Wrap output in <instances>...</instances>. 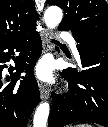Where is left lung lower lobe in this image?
<instances>
[{"mask_svg": "<svg viewBox=\"0 0 108 127\" xmlns=\"http://www.w3.org/2000/svg\"><path fill=\"white\" fill-rule=\"evenodd\" d=\"M78 52L84 70L69 67L61 72L69 91L66 95L52 93L49 127L78 121L108 127V43L88 45Z\"/></svg>", "mask_w": 108, "mask_h": 127, "instance_id": "left-lung-lower-lobe-1", "label": "left lung lower lobe"}]
</instances>
